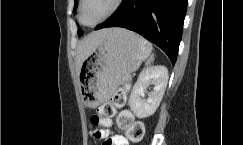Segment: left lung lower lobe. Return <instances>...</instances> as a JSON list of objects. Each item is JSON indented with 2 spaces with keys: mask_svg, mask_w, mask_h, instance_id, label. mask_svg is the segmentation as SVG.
Listing matches in <instances>:
<instances>
[{
  "mask_svg": "<svg viewBox=\"0 0 243 145\" xmlns=\"http://www.w3.org/2000/svg\"><path fill=\"white\" fill-rule=\"evenodd\" d=\"M187 0H123L95 29L123 27L159 46L174 65L182 37Z\"/></svg>",
  "mask_w": 243,
  "mask_h": 145,
  "instance_id": "obj_1",
  "label": "left lung lower lobe"
}]
</instances>
